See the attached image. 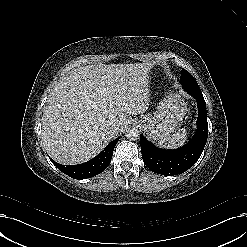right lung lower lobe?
Listing matches in <instances>:
<instances>
[{"label":"right lung lower lobe","instance_id":"98d812e1","mask_svg":"<svg viewBox=\"0 0 247 247\" xmlns=\"http://www.w3.org/2000/svg\"><path fill=\"white\" fill-rule=\"evenodd\" d=\"M118 140L119 138L110 142L100 154L83 164L68 166L58 164L53 160L51 161L61 172L74 179L81 180L84 178H90L102 173L109 166L112 159L114 147L117 144Z\"/></svg>","mask_w":247,"mask_h":247}]
</instances>
